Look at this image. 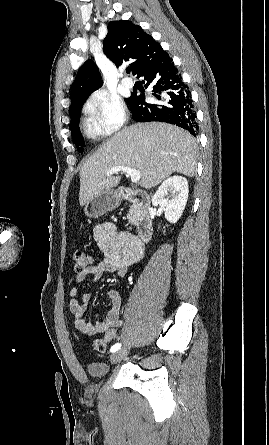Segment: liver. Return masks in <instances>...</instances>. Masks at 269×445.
I'll use <instances>...</instances> for the list:
<instances>
[{"mask_svg": "<svg viewBox=\"0 0 269 445\" xmlns=\"http://www.w3.org/2000/svg\"><path fill=\"white\" fill-rule=\"evenodd\" d=\"M196 140L176 126L138 123L115 133L84 162L80 169L79 203L84 206L104 190L116 187L121 176H107L115 166L140 172V185L150 189L172 173L193 177L196 171Z\"/></svg>", "mask_w": 269, "mask_h": 445, "instance_id": "1", "label": "liver"}]
</instances>
